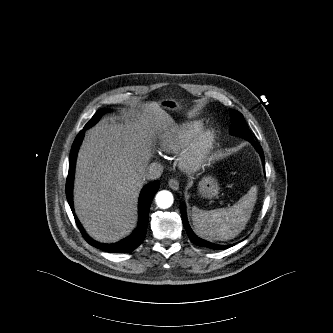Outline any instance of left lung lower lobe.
Here are the masks:
<instances>
[{"instance_id":"1","label":"left lung lower lobe","mask_w":333,"mask_h":333,"mask_svg":"<svg viewBox=\"0 0 333 333\" xmlns=\"http://www.w3.org/2000/svg\"><path fill=\"white\" fill-rule=\"evenodd\" d=\"M250 142L254 145V147L257 149V151L260 153L262 161H263V165L265 166V160H264V154L262 151V148L252 140H250ZM180 210H181V214H182V220H183V224L184 227L188 233L189 238L191 239V241L193 243H195L198 246L201 247H207V248H211V249H226L228 247H231L232 245H218V244H214L208 241H205L203 239L198 238L192 231V229L190 228L188 221H187V217H186V210H185V205L182 204L180 206Z\"/></svg>"}]
</instances>
